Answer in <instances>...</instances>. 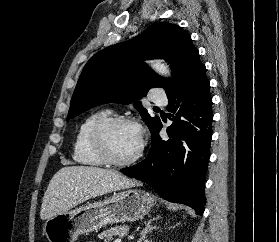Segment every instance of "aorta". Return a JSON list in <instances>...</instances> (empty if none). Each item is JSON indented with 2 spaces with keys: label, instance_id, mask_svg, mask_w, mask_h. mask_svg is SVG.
I'll list each match as a JSON object with an SVG mask.
<instances>
[{
  "label": "aorta",
  "instance_id": "1",
  "mask_svg": "<svg viewBox=\"0 0 279 242\" xmlns=\"http://www.w3.org/2000/svg\"><path fill=\"white\" fill-rule=\"evenodd\" d=\"M150 66L159 75H162L164 77H170L171 75L169 67L161 61H151Z\"/></svg>",
  "mask_w": 279,
  "mask_h": 242
}]
</instances>
